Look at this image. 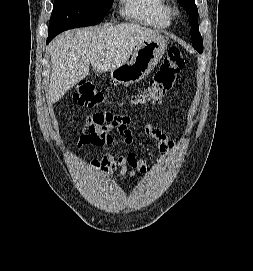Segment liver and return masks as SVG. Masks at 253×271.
Wrapping results in <instances>:
<instances>
[{
  "label": "liver",
  "instance_id": "liver-1",
  "mask_svg": "<svg viewBox=\"0 0 253 271\" xmlns=\"http://www.w3.org/2000/svg\"><path fill=\"white\" fill-rule=\"evenodd\" d=\"M159 33L133 23L76 29L56 37L49 46L51 76L49 101L55 103L89 75L90 64L97 72L123 65L145 38Z\"/></svg>",
  "mask_w": 253,
  "mask_h": 271
}]
</instances>
